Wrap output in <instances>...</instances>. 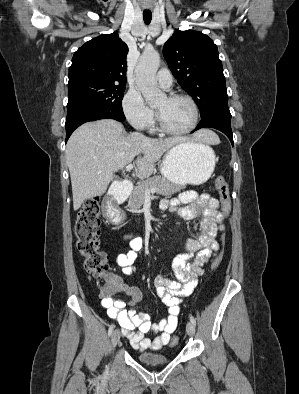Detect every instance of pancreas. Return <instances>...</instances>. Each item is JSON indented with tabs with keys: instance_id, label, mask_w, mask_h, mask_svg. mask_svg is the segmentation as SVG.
Listing matches in <instances>:
<instances>
[{
	"instance_id": "pancreas-1",
	"label": "pancreas",
	"mask_w": 299,
	"mask_h": 394,
	"mask_svg": "<svg viewBox=\"0 0 299 394\" xmlns=\"http://www.w3.org/2000/svg\"><path fill=\"white\" fill-rule=\"evenodd\" d=\"M157 189L156 193L164 196H170L181 189L183 186L173 184L162 176H154L145 181L139 183L133 190L129 198V207L132 211L137 212L138 209L143 205L145 200V191L151 189Z\"/></svg>"
}]
</instances>
